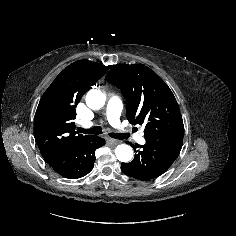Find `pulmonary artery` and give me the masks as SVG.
<instances>
[{
  "label": "pulmonary artery",
  "instance_id": "1",
  "mask_svg": "<svg viewBox=\"0 0 236 236\" xmlns=\"http://www.w3.org/2000/svg\"><path fill=\"white\" fill-rule=\"evenodd\" d=\"M122 108H123V103L120 97L116 95L111 96L107 104V112H106L107 119L110 122V124L117 130H119L121 133L129 134L128 130L125 129L120 122V115ZM136 140L140 144L145 143V139L142 134H138L136 136Z\"/></svg>",
  "mask_w": 236,
  "mask_h": 236
}]
</instances>
